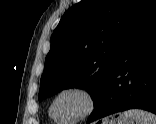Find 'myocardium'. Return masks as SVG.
<instances>
[{
  "label": "myocardium",
  "instance_id": "1",
  "mask_svg": "<svg viewBox=\"0 0 156 124\" xmlns=\"http://www.w3.org/2000/svg\"><path fill=\"white\" fill-rule=\"evenodd\" d=\"M67 92H78V93L83 94L87 99V108L78 117L71 118V119H62L63 122H65V123L80 122V121L87 119L94 113V111L97 108L98 101H99L96 92L86 85L74 84V85H69V86L63 87L52 98L50 105H49V111L55 118H58V117L54 114V105H55L56 101L58 100V98Z\"/></svg>",
  "mask_w": 156,
  "mask_h": 124
}]
</instances>
